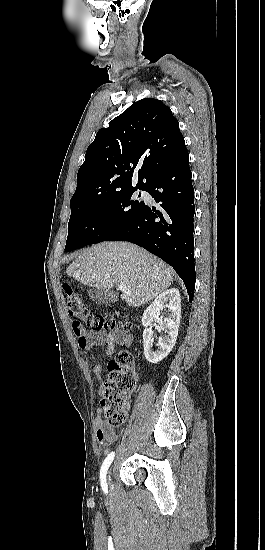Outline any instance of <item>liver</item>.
<instances>
[{"mask_svg":"<svg viewBox=\"0 0 265 550\" xmlns=\"http://www.w3.org/2000/svg\"><path fill=\"white\" fill-rule=\"evenodd\" d=\"M80 283L109 290L124 284L121 298L131 307L153 300L170 287L173 270L161 259L129 242H102L83 249L66 269Z\"/></svg>","mask_w":265,"mask_h":550,"instance_id":"liver-1","label":"liver"}]
</instances>
